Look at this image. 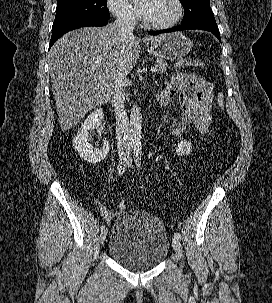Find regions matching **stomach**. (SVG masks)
<instances>
[{"mask_svg":"<svg viewBox=\"0 0 272 303\" xmlns=\"http://www.w3.org/2000/svg\"><path fill=\"white\" fill-rule=\"evenodd\" d=\"M193 43L182 33H169L160 41L153 43L147 51L163 60H181L192 49Z\"/></svg>","mask_w":272,"mask_h":303,"instance_id":"1","label":"stomach"}]
</instances>
